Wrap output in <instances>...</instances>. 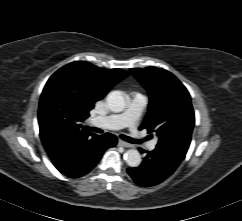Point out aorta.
<instances>
[{
    "label": "aorta",
    "mask_w": 242,
    "mask_h": 221,
    "mask_svg": "<svg viewBox=\"0 0 242 221\" xmlns=\"http://www.w3.org/2000/svg\"><path fill=\"white\" fill-rule=\"evenodd\" d=\"M106 100L109 109L115 113L123 111L126 106V100L121 91L110 92ZM124 159L130 167H138L141 164V156L137 149L127 150Z\"/></svg>",
    "instance_id": "aorta-1"
}]
</instances>
